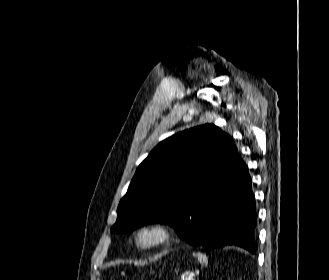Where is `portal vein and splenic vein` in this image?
Here are the masks:
<instances>
[{"mask_svg": "<svg viewBox=\"0 0 329 280\" xmlns=\"http://www.w3.org/2000/svg\"><path fill=\"white\" fill-rule=\"evenodd\" d=\"M185 280H194V279H193V275H192V276H189V277L186 278Z\"/></svg>", "mask_w": 329, "mask_h": 280, "instance_id": "18ae733b", "label": "portal vein and splenic vein"}]
</instances>
